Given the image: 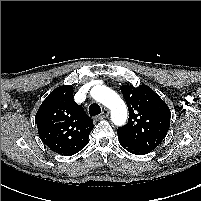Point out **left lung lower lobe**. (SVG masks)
Masks as SVG:
<instances>
[{"label": "left lung lower lobe", "instance_id": "obj_1", "mask_svg": "<svg viewBox=\"0 0 201 201\" xmlns=\"http://www.w3.org/2000/svg\"><path fill=\"white\" fill-rule=\"evenodd\" d=\"M118 139H119L120 145L130 153H133L136 155H144L150 152L149 150L141 146H138L136 144H133L119 135H118Z\"/></svg>", "mask_w": 201, "mask_h": 201}]
</instances>
